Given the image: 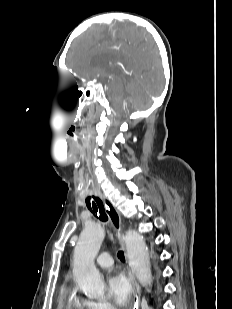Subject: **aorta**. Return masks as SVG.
Wrapping results in <instances>:
<instances>
[{
    "instance_id": "1",
    "label": "aorta",
    "mask_w": 232,
    "mask_h": 309,
    "mask_svg": "<svg viewBox=\"0 0 232 309\" xmlns=\"http://www.w3.org/2000/svg\"><path fill=\"white\" fill-rule=\"evenodd\" d=\"M103 239L102 226L96 222H89L81 232L74 249V281L86 296L95 299L104 297L105 284L94 264ZM125 244L129 265L136 278L142 286H151L153 280L150 257L143 236L135 230H128Z\"/></svg>"
}]
</instances>
